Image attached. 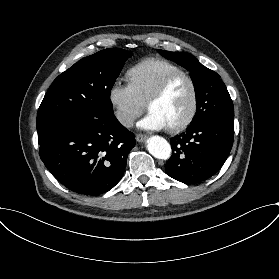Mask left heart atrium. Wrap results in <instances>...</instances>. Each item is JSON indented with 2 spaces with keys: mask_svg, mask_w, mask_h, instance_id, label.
<instances>
[{
  "mask_svg": "<svg viewBox=\"0 0 279 279\" xmlns=\"http://www.w3.org/2000/svg\"><path fill=\"white\" fill-rule=\"evenodd\" d=\"M138 127L150 131H159L168 126L160 116L149 110L148 114L139 122Z\"/></svg>",
  "mask_w": 279,
  "mask_h": 279,
  "instance_id": "39dd6f15",
  "label": "left heart atrium"
}]
</instances>
